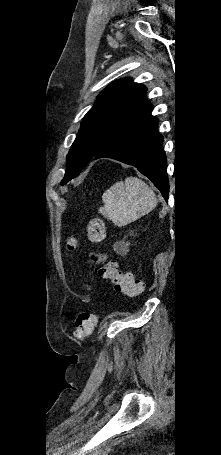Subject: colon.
<instances>
[{"label": "colon", "mask_w": 221, "mask_h": 455, "mask_svg": "<svg viewBox=\"0 0 221 455\" xmlns=\"http://www.w3.org/2000/svg\"><path fill=\"white\" fill-rule=\"evenodd\" d=\"M86 231L91 242L99 244L104 241L105 225L101 218L91 217L87 222ZM66 246L69 251H74L77 247L76 239L69 237ZM90 259L97 267L98 276L112 282L116 291L129 297H136L143 292V282L130 273L119 271L116 262L108 260L105 254L93 252ZM95 325L96 317L93 313L81 312L75 321V338L83 340L92 333Z\"/></svg>", "instance_id": "obj_1"}]
</instances>
